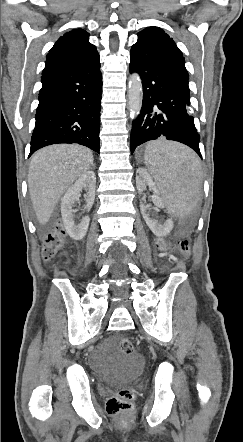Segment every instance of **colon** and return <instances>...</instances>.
Listing matches in <instances>:
<instances>
[{"label": "colon", "mask_w": 243, "mask_h": 442, "mask_svg": "<svg viewBox=\"0 0 243 442\" xmlns=\"http://www.w3.org/2000/svg\"><path fill=\"white\" fill-rule=\"evenodd\" d=\"M171 239L170 233H162L156 238V246L160 253L166 251V256H173L175 258H190L192 252L195 251V242L192 237L174 236L171 239L173 246L168 245ZM66 242L65 232L60 224L56 225L55 229L50 232L43 244L41 255L44 260H51L55 257L57 252L64 246ZM119 348L123 354L129 355L133 353L134 347L130 339L122 338L119 341ZM134 398V390L132 388H124L111 396L106 403V411L109 415L116 418L126 419L130 416L131 404Z\"/></svg>", "instance_id": "colon-1"}]
</instances>
